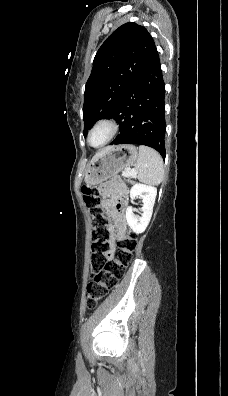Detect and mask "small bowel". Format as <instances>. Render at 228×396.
Returning a JSON list of instances; mask_svg holds the SVG:
<instances>
[{"mask_svg": "<svg viewBox=\"0 0 228 396\" xmlns=\"http://www.w3.org/2000/svg\"><path fill=\"white\" fill-rule=\"evenodd\" d=\"M118 188L115 192V188ZM100 192L105 200V205L111 210L114 224L111 229L115 228L124 232L126 230V221L124 218V190L123 186L117 184L115 181L100 185Z\"/></svg>", "mask_w": 228, "mask_h": 396, "instance_id": "1", "label": "small bowel"}]
</instances>
